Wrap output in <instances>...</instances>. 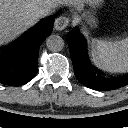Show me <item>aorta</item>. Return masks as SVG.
<instances>
[{"label": "aorta", "mask_w": 128, "mask_h": 128, "mask_svg": "<svg viewBox=\"0 0 128 128\" xmlns=\"http://www.w3.org/2000/svg\"><path fill=\"white\" fill-rule=\"evenodd\" d=\"M46 45L50 51L57 52L63 49L64 40L59 35H50L46 40Z\"/></svg>", "instance_id": "1"}]
</instances>
